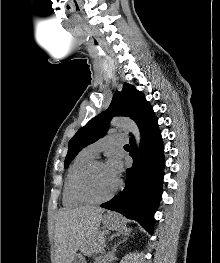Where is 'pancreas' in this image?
<instances>
[{"label":"pancreas","instance_id":"pancreas-1","mask_svg":"<svg viewBox=\"0 0 220 263\" xmlns=\"http://www.w3.org/2000/svg\"><path fill=\"white\" fill-rule=\"evenodd\" d=\"M104 235L105 231L96 232L92 239L82 246V249L86 253L96 252L104 243Z\"/></svg>","mask_w":220,"mask_h":263}]
</instances>
